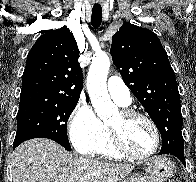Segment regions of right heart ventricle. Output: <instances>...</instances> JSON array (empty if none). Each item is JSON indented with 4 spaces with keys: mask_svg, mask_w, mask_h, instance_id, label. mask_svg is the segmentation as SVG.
<instances>
[{
    "mask_svg": "<svg viewBox=\"0 0 196 182\" xmlns=\"http://www.w3.org/2000/svg\"><path fill=\"white\" fill-rule=\"evenodd\" d=\"M95 153L102 156V157H105V158H111V159L122 158V155H120L118 152H116L115 149L113 148L107 129H106V133H105V138H104L101 146L98 148V150Z\"/></svg>",
    "mask_w": 196,
    "mask_h": 182,
    "instance_id": "1",
    "label": "right heart ventricle"
}]
</instances>
